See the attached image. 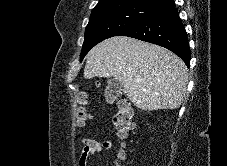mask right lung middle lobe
<instances>
[{"label":"right lung middle lobe","instance_id":"dd1d6c3e","mask_svg":"<svg viewBox=\"0 0 227 166\" xmlns=\"http://www.w3.org/2000/svg\"><path fill=\"white\" fill-rule=\"evenodd\" d=\"M157 7L139 3H123L92 11L86 26L80 60L99 42L117 36L133 26Z\"/></svg>","mask_w":227,"mask_h":166}]
</instances>
